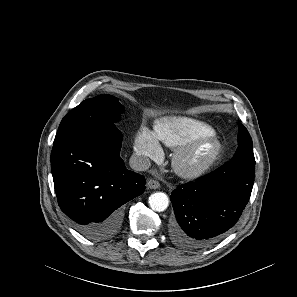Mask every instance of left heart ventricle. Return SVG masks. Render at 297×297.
Here are the masks:
<instances>
[{
    "label": "left heart ventricle",
    "mask_w": 297,
    "mask_h": 297,
    "mask_svg": "<svg viewBox=\"0 0 297 297\" xmlns=\"http://www.w3.org/2000/svg\"><path fill=\"white\" fill-rule=\"evenodd\" d=\"M211 150V146L209 144L201 145L196 152L190 157V162H200L206 158Z\"/></svg>",
    "instance_id": "1"
}]
</instances>
